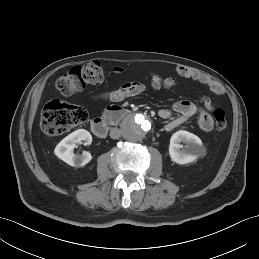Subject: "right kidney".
I'll return each mask as SVG.
<instances>
[{
    "instance_id": "1",
    "label": "right kidney",
    "mask_w": 259,
    "mask_h": 259,
    "mask_svg": "<svg viewBox=\"0 0 259 259\" xmlns=\"http://www.w3.org/2000/svg\"><path fill=\"white\" fill-rule=\"evenodd\" d=\"M84 142V145H90L92 142L91 134L85 129L74 131L65 137L55 148V155L70 166L81 167L89 163L92 156L84 151L82 154H74L73 150L76 143Z\"/></svg>"
}]
</instances>
